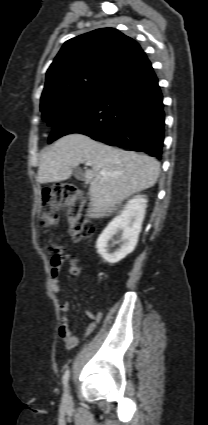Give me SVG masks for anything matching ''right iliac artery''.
Masks as SVG:
<instances>
[{"label":"right iliac artery","mask_w":208,"mask_h":425,"mask_svg":"<svg viewBox=\"0 0 208 425\" xmlns=\"http://www.w3.org/2000/svg\"><path fill=\"white\" fill-rule=\"evenodd\" d=\"M69 376H70V371L66 370L63 377H62V382L64 384V386H67L68 380H69Z\"/></svg>","instance_id":"right-iliac-artery-1"}]
</instances>
